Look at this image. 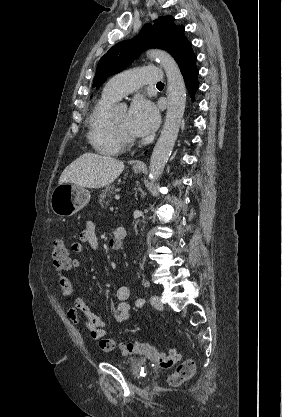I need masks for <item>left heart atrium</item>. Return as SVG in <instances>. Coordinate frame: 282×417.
Instances as JSON below:
<instances>
[{
    "mask_svg": "<svg viewBox=\"0 0 282 417\" xmlns=\"http://www.w3.org/2000/svg\"><path fill=\"white\" fill-rule=\"evenodd\" d=\"M159 114L157 109L147 100L135 101L127 115V129L135 136L151 133L158 125Z\"/></svg>",
    "mask_w": 282,
    "mask_h": 417,
    "instance_id": "39dd6f15",
    "label": "left heart atrium"
}]
</instances>
